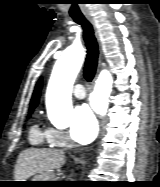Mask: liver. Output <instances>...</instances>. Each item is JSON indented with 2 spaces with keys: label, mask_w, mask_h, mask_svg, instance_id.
I'll return each mask as SVG.
<instances>
[{
  "label": "liver",
  "mask_w": 160,
  "mask_h": 187,
  "mask_svg": "<svg viewBox=\"0 0 160 187\" xmlns=\"http://www.w3.org/2000/svg\"><path fill=\"white\" fill-rule=\"evenodd\" d=\"M65 163V155L59 150L27 149L20 153L15 166V181H26L35 174L52 172Z\"/></svg>",
  "instance_id": "1"
}]
</instances>
